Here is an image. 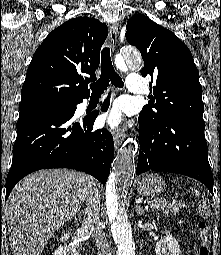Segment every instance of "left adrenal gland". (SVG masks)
Wrapping results in <instances>:
<instances>
[{"label":"left adrenal gland","mask_w":221,"mask_h":255,"mask_svg":"<svg viewBox=\"0 0 221 255\" xmlns=\"http://www.w3.org/2000/svg\"><path fill=\"white\" fill-rule=\"evenodd\" d=\"M136 212L139 216H141L145 212V210L141 206L138 205V206H136Z\"/></svg>","instance_id":"1"}]
</instances>
